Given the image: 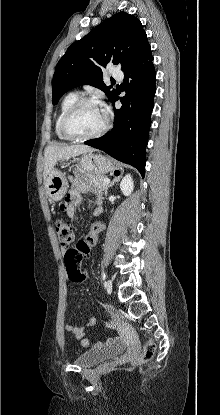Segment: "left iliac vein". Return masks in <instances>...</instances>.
<instances>
[{
	"label": "left iliac vein",
	"mask_w": 220,
	"mask_h": 415,
	"mask_svg": "<svg viewBox=\"0 0 220 415\" xmlns=\"http://www.w3.org/2000/svg\"><path fill=\"white\" fill-rule=\"evenodd\" d=\"M112 288H113L112 281L110 279H108L105 283V289H106L108 294H110L112 292Z\"/></svg>",
	"instance_id": "left-iliac-vein-1"
}]
</instances>
